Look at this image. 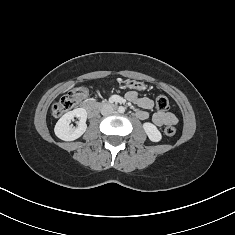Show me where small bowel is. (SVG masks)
Instances as JSON below:
<instances>
[{
  "mask_svg": "<svg viewBox=\"0 0 235 235\" xmlns=\"http://www.w3.org/2000/svg\"><path fill=\"white\" fill-rule=\"evenodd\" d=\"M127 99L141 108L136 113L139 119L145 120L149 117V110L153 107L151 98L140 97L136 92L132 91L127 94ZM152 120L159 127L177 123V117L171 112H156L153 114Z\"/></svg>",
  "mask_w": 235,
  "mask_h": 235,
  "instance_id": "c3829d8e",
  "label": "small bowel"
}]
</instances>
